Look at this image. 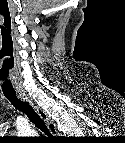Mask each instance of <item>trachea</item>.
Listing matches in <instances>:
<instances>
[{
    "label": "trachea",
    "mask_w": 125,
    "mask_h": 143,
    "mask_svg": "<svg viewBox=\"0 0 125 143\" xmlns=\"http://www.w3.org/2000/svg\"><path fill=\"white\" fill-rule=\"evenodd\" d=\"M4 95L17 110L26 114L33 124H35L38 128L44 131L49 137H51V134L47 130L44 121L41 119V117L38 115L35 109L28 102L21 101L20 99L17 98L16 94L15 95L4 94Z\"/></svg>",
    "instance_id": "trachea-1"
}]
</instances>
